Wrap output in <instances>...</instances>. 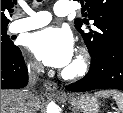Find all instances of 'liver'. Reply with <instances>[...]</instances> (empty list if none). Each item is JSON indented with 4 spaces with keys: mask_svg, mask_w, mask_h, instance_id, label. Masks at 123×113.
Wrapping results in <instances>:
<instances>
[{
    "mask_svg": "<svg viewBox=\"0 0 123 113\" xmlns=\"http://www.w3.org/2000/svg\"><path fill=\"white\" fill-rule=\"evenodd\" d=\"M25 92L21 90H1V113H23ZM40 108V101L35 98L34 110Z\"/></svg>",
    "mask_w": 123,
    "mask_h": 113,
    "instance_id": "1",
    "label": "liver"
}]
</instances>
